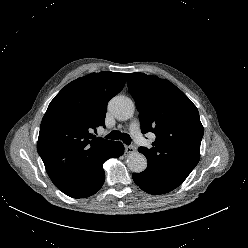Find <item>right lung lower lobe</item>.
<instances>
[{
	"label": "right lung lower lobe",
	"mask_w": 248,
	"mask_h": 248,
	"mask_svg": "<svg viewBox=\"0 0 248 248\" xmlns=\"http://www.w3.org/2000/svg\"><path fill=\"white\" fill-rule=\"evenodd\" d=\"M123 152V144L119 141L113 142L102 162L80 177L74 184L61 189V191L73 198H85L95 194L105 181V172L102 168L103 163L109 158L121 156Z\"/></svg>",
	"instance_id": "98d812e1"
}]
</instances>
